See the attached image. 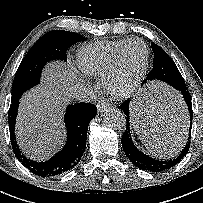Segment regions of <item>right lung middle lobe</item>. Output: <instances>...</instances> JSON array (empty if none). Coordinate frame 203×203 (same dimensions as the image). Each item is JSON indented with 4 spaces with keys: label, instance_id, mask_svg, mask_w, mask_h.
Masks as SVG:
<instances>
[{
    "label": "right lung middle lobe",
    "instance_id": "1",
    "mask_svg": "<svg viewBox=\"0 0 203 203\" xmlns=\"http://www.w3.org/2000/svg\"><path fill=\"white\" fill-rule=\"evenodd\" d=\"M78 33L53 30L43 35L22 60L12 85L11 102L40 82L43 67L52 60H67L66 51L73 44L84 41Z\"/></svg>",
    "mask_w": 203,
    "mask_h": 203
}]
</instances>
